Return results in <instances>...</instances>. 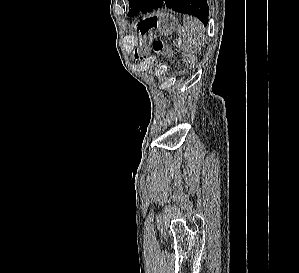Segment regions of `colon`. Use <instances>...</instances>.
Masks as SVG:
<instances>
[{
    "instance_id": "colon-1",
    "label": "colon",
    "mask_w": 299,
    "mask_h": 273,
    "mask_svg": "<svg viewBox=\"0 0 299 273\" xmlns=\"http://www.w3.org/2000/svg\"><path fill=\"white\" fill-rule=\"evenodd\" d=\"M155 49L160 55H169V50L162 41L155 43Z\"/></svg>"
}]
</instances>
